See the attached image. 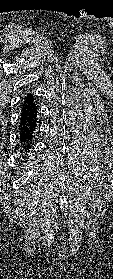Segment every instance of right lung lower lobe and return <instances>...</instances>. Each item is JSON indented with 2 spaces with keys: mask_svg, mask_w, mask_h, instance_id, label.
Listing matches in <instances>:
<instances>
[{
  "mask_svg": "<svg viewBox=\"0 0 113 279\" xmlns=\"http://www.w3.org/2000/svg\"><path fill=\"white\" fill-rule=\"evenodd\" d=\"M36 105L32 94H27L22 105V112L20 118V140L23 143L22 147L26 151L30 146L32 134L36 127Z\"/></svg>",
  "mask_w": 113,
  "mask_h": 279,
  "instance_id": "98d812e1",
  "label": "right lung lower lobe"
}]
</instances>
